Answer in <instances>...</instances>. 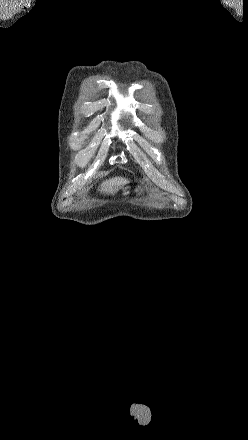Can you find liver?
Listing matches in <instances>:
<instances>
[{"mask_svg": "<svg viewBox=\"0 0 248 440\" xmlns=\"http://www.w3.org/2000/svg\"><path fill=\"white\" fill-rule=\"evenodd\" d=\"M127 183L129 181L122 177L108 179L101 184V192L113 194Z\"/></svg>", "mask_w": 248, "mask_h": 440, "instance_id": "1", "label": "liver"}]
</instances>
